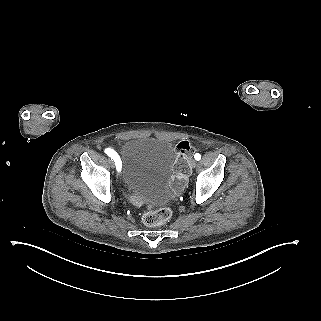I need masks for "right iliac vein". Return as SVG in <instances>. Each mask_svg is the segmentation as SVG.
Listing matches in <instances>:
<instances>
[{"mask_svg": "<svg viewBox=\"0 0 321 321\" xmlns=\"http://www.w3.org/2000/svg\"><path fill=\"white\" fill-rule=\"evenodd\" d=\"M109 164H110V166L112 167V168H114L115 167V163H114V161L111 159V160H109Z\"/></svg>", "mask_w": 321, "mask_h": 321, "instance_id": "1", "label": "right iliac vein"}]
</instances>
